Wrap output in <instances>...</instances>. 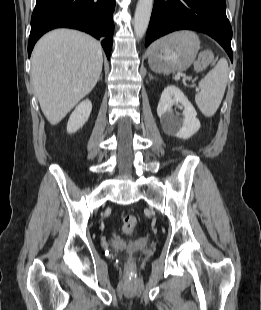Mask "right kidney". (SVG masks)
I'll list each match as a JSON object with an SVG mask.
<instances>
[{
    "label": "right kidney",
    "instance_id": "obj_1",
    "mask_svg": "<svg viewBox=\"0 0 261 310\" xmlns=\"http://www.w3.org/2000/svg\"><path fill=\"white\" fill-rule=\"evenodd\" d=\"M92 110V103L89 99L82 101L72 112L67 124V132L74 133L87 122Z\"/></svg>",
    "mask_w": 261,
    "mask_h": 310
}]
</instances>
